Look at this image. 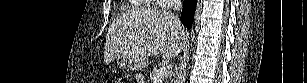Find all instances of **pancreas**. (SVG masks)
Instances as JSON below:
<instances>
[{"instance_id":"1","label":"pancreas","mask_w":307,"mask_h":83,"mask_svg":"<svg viewBox=\"0 0 307 83\" xmlns=\"http://www.w3.org/2000/svg\"><path fill=\"white\" fill-rule=\"evenodd\" d=\"M159 70L155 68L151 73H150V78L153 80Z\"/></svg>"}]
</instances>
